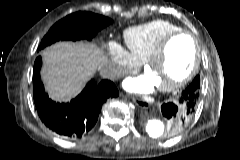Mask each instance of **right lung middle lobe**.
<instances>
[{
	"label": "right lung middle lobe",
	"mask_w": 240,
	"mask_h": 160,
	"mask_svg": "<svg viewBox=\"0 0 240 160\" xmlns=\"http://www.w3.org/2000/svg\"><path fill=\"white\" fill-rule=\"evenodd\" d=\"M112 20L90 12H77L54 24L41 41V49L59 40H91Z\"/></svg>",
	"instance_id": "right-lung-middle-lobe-1"
}]
</instances>
